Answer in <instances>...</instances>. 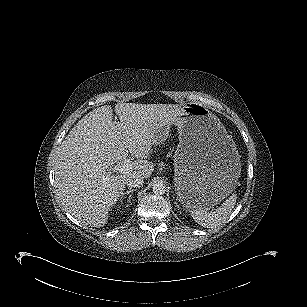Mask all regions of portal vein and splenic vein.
Listing matches in <instances>:
<instances>
[{
	"instance_id": "1",
	"label": "portal vein and splenic vein",
	"mask_w": 307,
	"mask_h": 307,
	"mask_svg": "<svg viewBox=\"0 0 307 307\" xmlns=\"http://www.w3.org/2000/svg\"><path fill=\"white\" fill-rule=\"evenodd\" d=\"M132 170V164L129 161H125L123 164L118 165V167L114 170V172H121V173H126L128 171ZM111 175L112 172H109Z\"/></svg>"
}]
</instances>
